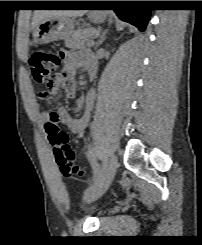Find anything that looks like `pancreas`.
<instances>
[{
	"label": "pancreas",
	"instance_id": "pancreas-1",
	"mask_svg": "<svg viewBox=\"0 0 202 245\" xmlns=\"http://www.w3.org/2000/svg\"><path fill=\"white\" fill-rule=\"evenodd\" d=\"M94 31L91 29H79L72 36L65 40V45L73 49H84L90 47L93 41Z\"/></svg>",
	"mask_w": 202,
	"mask_h": 245
}]
</instances>
